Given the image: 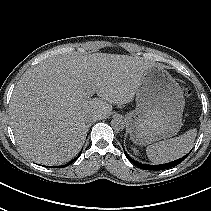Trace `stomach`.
Returning a JSON list of instances; mask_svg holds the SVG:
<instances>
[{
	"instance_id": "obj_1",
	"label": "stomach",
	"mask_w": 211,
	"mask_h": 211,
	"mask_svg": "<svg viewBox=\"0 0 211 211\" xmlns=\"http://www.w3.org/2000/svg\"><path fill=\"white\" fill-rule=\"evenodd\" d=\"M184 106L179 84L165 69L150 67L138 86L136 108L126 115L132 141L148 145L176 135L182 126Z\"/></svg>"
}]
</instances>
